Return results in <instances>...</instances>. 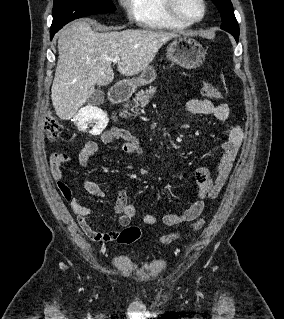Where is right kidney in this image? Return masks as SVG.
Listing matches in <instances>:
<instances>
[{
  "instance_id": "right-kidney-1",
  "label": "right kidney",
  "mask_w": 284,
  "mask_h": 319,
  "mask_svg": "<svg viewBox=\"0 0 284 319\" xmlns=\"http://www.w3.org/2000/svg\"><path fill=\"white\" fill-rule=\"evenodd\" d=\"M74 120L80 130H86L88 123L94 121L93 131L96 133H101L108 123L107 115L101 109L92 106L81 108Z\"/></svg>"
}]
</instances>
